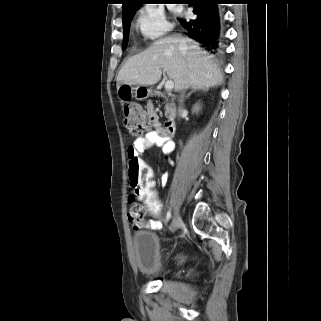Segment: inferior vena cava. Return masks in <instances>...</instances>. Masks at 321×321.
I'll return each mask as SVG.
<instances>
[{"label":"inferior vena cava","instance_id":"602c4592","mask_svg":"<svg viewBox=\"0 0 321 321\" xmlns=\"http://www.w3.org/2000/svg\"><path fill=\"white\" fill-rule=\"evenodd\" d=\"M179 48H180V50H184L185 49V43H184L183 40L180 42ZM185 84H186V80L184 81V85H183L182 89H186L187 88V86ZM182 112H183V109L181 107H179L178 116H181Z\"/></svg>","mask_w":321,"mask_h":321}]
</instances>
